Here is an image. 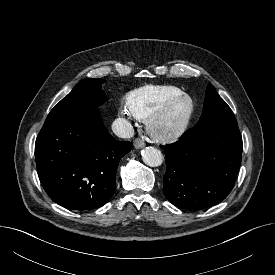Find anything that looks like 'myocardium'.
<instances>
[{
    "label": "myocardium",
    "mask_w": 275,
    "mask_h": 275,
    "mask_svg": "<svg viewBox=\"0 0 275 275\" xmlns=\"http://www.w3.org/2000/svg\"><path fill=\"white\" fill-rule=\"evenodd\" d=\"M179 103L184 105V112L180 120L172 126H164L163 119ZM195 104L187 93H180L156 108L145 120L146 129L150 136L159 141H170L180 137L189 127Z\"/></svg>",
    "instance_id": "1"
}]
</instances>
